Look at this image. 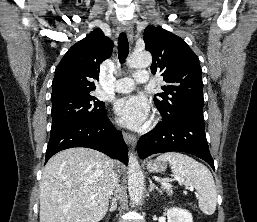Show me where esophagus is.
Returning a JSON list of instances; mask_svg holds the SVG:
<instances>
[{"instance_id":"1","label":"esophagus","mask_w":257,"mask_h":222,"mask_svg":"<svg viewBox=\"0 0 257 222\" xmlns=\"http://www.w3.org/2000/svg\"><path fill=\"white\" fill-rule=\"evenodd\" d=\"M121 30L125 31L128 35L129 40L132 42L133 41V28L130 24H125L121 25ZM123 138L126 141L128 145L135 146L137 139L134 135L128 133V132H123Z\"/></svg>"}]
</instances>
